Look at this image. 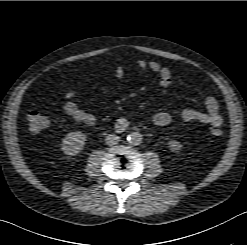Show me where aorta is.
<instances>
[{
  "instance_id": "aorta-1",
  "label": "aorta",
  "mask_w": 247,
  "mask_h": 245,
  "mask_svg": "<svg viewBox=\"0 0 247 245\" xmlns=\"http://www.w3.org/2000/svg\"><path fill=\"white\" fill-rule=\"evenodd\" d=\"M127 140L133 145H140L143 141V137L141 133L134 131L127 136Z\"/></svg>"
}]
</instances>
